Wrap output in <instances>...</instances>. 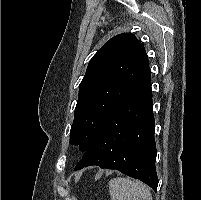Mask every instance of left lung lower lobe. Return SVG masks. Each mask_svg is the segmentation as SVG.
<instances>
[{"label": "left lung lower lobe", "mask_w": 201, "mask_h": 200, "mask_svg": "<svg viewBox=\"0 0 201 200\" xmlns=\"http://www.w3.org/2000/svg\"><path fill=\"white\" fill-rule=\"evenodd\" d=\"M150 77L146 76L109 113L75 170L91 165L115 169L157 190Z\"/></svg>", "instance_id": "1"}]
</instances>
